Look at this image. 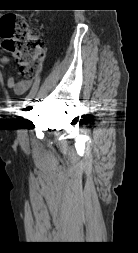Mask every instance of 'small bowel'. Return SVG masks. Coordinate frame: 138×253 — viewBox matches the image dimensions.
Here are the masks:
<instances>
[{"mask_svg": "<svg viewBox=\"0 0 138 253\" xmlns=\"http://www.w3.org/2000/svg\"><path fill=\"white\" fill-rule=\"evenodd\" d=\"M9 59L6 56L0 57V64L6 65ZM20 73L11 75L7 80V86L12 89L17 95H23L32 85V78H18Z\"/></svg>", "mask_w": 138, "mask_h": 253, "instance_id": "c3829d8e", "label": "small bowel"}]
</instances>
